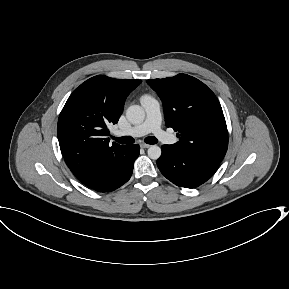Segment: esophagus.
<instances>
[{"instance_id": "obj_1", "label": "esophagus", "mask_w": 289, "mask_h": 289, "mask_svg": "<svg viewBox=\"0 0 289 289\" xmlns=\"http://www.w3.org/2000/svg\"><path fill=\"white\" fill-rule=\"evenodd\" d=\"M140 146H141V148H149L151 145H149V144H145V143H142V144H140Z\"/></svg>"}]
</instances>
